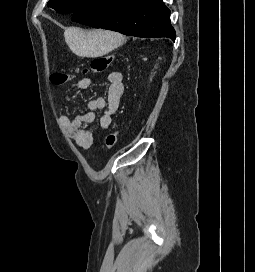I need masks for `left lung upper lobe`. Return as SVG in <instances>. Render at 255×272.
<instances>
[{
  "mask_svg": "<svg viewBox=\"0 0 255 272\" xmlns=\"http://www.w3.org/2000/svg\"><path fill=\"white\" fill-rule=\"evenodd\" d=\"M91 0H50L47 3L48 7L55 9L58 13H74Z\"/></svg>",
  "mask_w": 255,
  "mask_h": 272,
  "instance_id": "1",
  "label": "left lung upper lobe"
}]
</instances>
